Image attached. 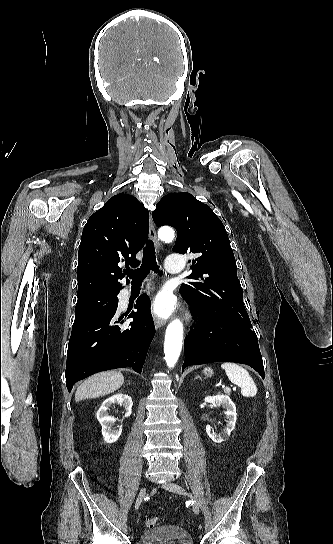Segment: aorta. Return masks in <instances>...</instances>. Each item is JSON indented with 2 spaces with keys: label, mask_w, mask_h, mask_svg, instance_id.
<instances>
[{
  "label": "aorta",
  "mask_w": 333,
  "mask_h": 544,
  "mask_svg": "<svg viewBox=\"0 0 333 544\" xmlns=\"http://www.w3.org/2000/svg\"><path fill=\"white\" fill-rule=\"evenodd\" d=\"M158 236L165 242H171L175 233L170 227H162ZM183 325L179 319L173 320L166 329L164 354L167 366L172 368L178 361L182 349Z\"/></svg>",
  "instance_id": "1"
}]
</instances>
